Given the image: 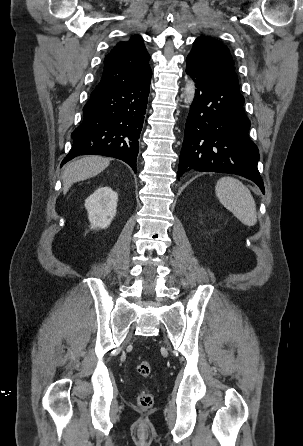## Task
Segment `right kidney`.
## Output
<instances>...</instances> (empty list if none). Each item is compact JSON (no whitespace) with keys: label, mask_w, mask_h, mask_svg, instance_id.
I'll return each instance as SVG.
<instances>
[{"label":"right kidney","mask_w":303,"mask_h":446,"mask_svg":"<svg viewBox=\"0 0 303 446\" xmlns=\"http://www.w3.org/2000/svg\"><path fill=\"white\" fill-rule=\"evenodd\" d=\"M118 194L110 187H100L85 200L91 229L107 228L116 215Z\"/></svg>","instance_id":"obj_1"}]
</instances>
